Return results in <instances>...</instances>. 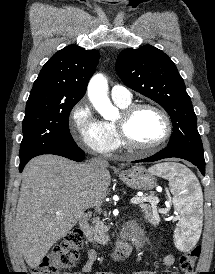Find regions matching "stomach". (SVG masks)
<instances>
[{"mask_svg": "<svg viewBox=\"0 0 215 274\" xmlns=\"http://www.w3.org/2000/svg\"><path fill=\"white\" fill-rule=\"evenodd\" d=\"M119 177L128 187L141 191L151 190L157 184L154 174L143 166H133L124 170Z\"/></svg>", "mask_w": 215, "mask_h": 274, "instance_id": "stomach-1", "label": "stomach"}]
</instances>
